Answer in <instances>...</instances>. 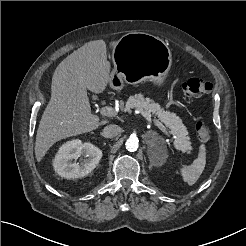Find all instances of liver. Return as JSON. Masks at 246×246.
Listing matches in <instances>:
<instances>
[{
	"instance_id": "6515ba94",
	"label": "liver",
	"mask_w": 246,
	"mask_h": 246,
	"mask_svg": "<svg viewBox=\"0 0 246 246\" xmlns=\"http://www.w3.org/2000/svg\"><path fill=\"white\" fill-rule=\"evenodd\" d=\"M118 41H112L114 48ZM104 40L90 41L67 56L56 68L51 99L42 115L35 142V156L42 160L50 147L62 139L97 129L107 120L91 113L87 90L102 93L110 80Z\"/></svg>"
}]
</instances>
